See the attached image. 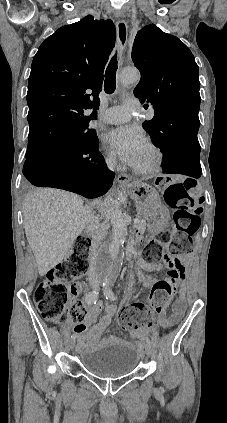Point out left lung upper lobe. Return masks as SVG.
I'll use <instances>...</instances> for the list:
<instances>
[{
	"label": "left lung upper lobe",
	"mask_w": 227,
	"mask_h": 423,
	"mask_svg": "<svg viewBox=\"0 0 227 423\" xmlns=\"http://www.w3.org/2000/svg\"><path fill=\"white\" fill-rule=\"evenodd\" d=\"M132 59L141 73L134 95L155 110L154 118L143 123L152 141L186 123H199V70L182 41L147 25L135 37Z\"/></svg>",
	"instance_id": "5c2ea615"
}]
</instances>
